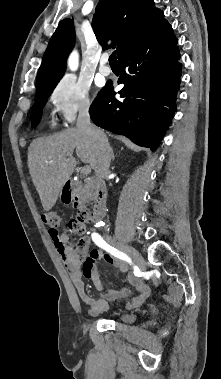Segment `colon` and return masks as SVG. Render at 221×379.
Here are the masks:
<instances>
[{"label":"colon","instance_id":"1","mask_svg":"<svg viewBox=\"0 0 221 379\" xmlns=\"http://www.w3.org/2000/svg\"><path fill=\"white\" fill-rule=\"evenodd\" d=\"M74 207L77 210L76 216L71 220L69 229L71 232L82 235L85 233V228L91 219L90 204L86 199H79L74 202ZM42 220L44 224L49 228L50 234H57L58 228L61 224L60 215L55 211L46 212L42 215ZM76 248L79 252H84L87 248V241L85 239H80L77 242ZM85 257H82V264Z\"/></svg>","mask_w":221,"mask_h":379}]
</instances>
